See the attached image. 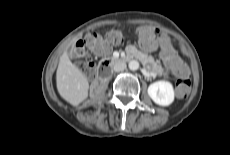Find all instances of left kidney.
<instances>
[{"mask_svg":"<svg viewBox=\"0 0 230 155\" xmlns=\"http://www.w3.org/2000/svg\"><path fill=\"white\" fill-rule=\"evenodd\" d=\"M148 94L158 105L168 106L174 100L173 86L168 81H157L148 87Z\"/></svg>","mask_w":230,"mask_h":155,"instance_id":"5707ae66","label":"left kidney"}]
</instances>
